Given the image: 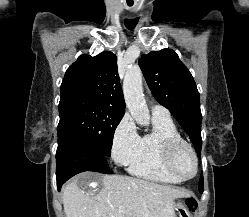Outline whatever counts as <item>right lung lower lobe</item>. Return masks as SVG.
I'll return each mask as SVG.
<instances>
[{"instance_id":"obj_1","label":"right lung lower lobe","mask_w":249,"mask_h":217,"mask_svg":"<svg viewBox=\"0 0 249 217\" xmlns=\"http://www.w3.org/2000/svg\"><path fill=\"white\" fill-rule=\"evenodd\" d=\"M56 162L57 187L59 190L65 181L80 172L112 173L105 156L98 154L92 147L69 134L58 136Z\"/></svg>"}]
</instances>
